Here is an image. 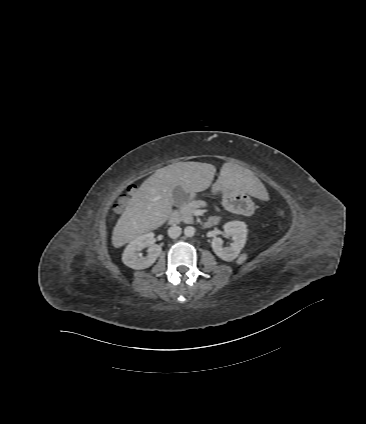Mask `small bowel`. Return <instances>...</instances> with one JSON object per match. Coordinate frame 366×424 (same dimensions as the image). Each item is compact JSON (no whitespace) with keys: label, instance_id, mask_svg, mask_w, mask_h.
Returning <instances> with one entry per match:
<instances>
[{"label":"small bowel","instance_id":"c3829d8e","mask_svg":"<svg viewBox=\"0 0 366 424\" xmlns=\"http://www.w3.org/2000/svg\"><path fill=\"white\" fill-rule=\"evenodd\" d=\"M218 220H219V217H218V216H214V217H212V218L210 219V221H211L213 224H215Z\"/></svg>","mask_w":366,"mask_h":424}]
</instances>
